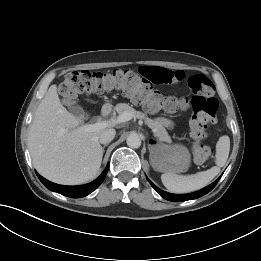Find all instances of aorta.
Returning a JSON list of instances; mask_svg holds the SVG:
<instances>
[{
    "label": "aorta",
    "instance_id": "aorta-1",
    "mask_svg": "<svg viewBox=\"0 0 261 261\" xmlns=\"http://www.w3.org/2000/svg\"><path fill=\"white\" fill-rule=\"evenodd\" d=\"M127 145L130 148H139L141 146V139L136 133H132L127 137Z\"/></svg>",
    "mask_w": 261,
    "mask_h": 261
}]
</instances>
